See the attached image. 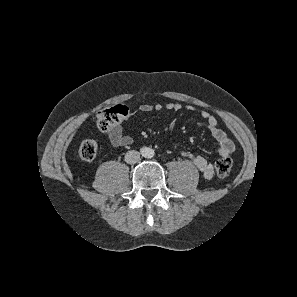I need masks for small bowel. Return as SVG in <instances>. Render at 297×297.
Masks as SVG:
<instances>
[{
	"label": "small bowel",
	"instance_id": "c3829d8e",
	"mask_svg": "<svg viewBox=\"0 0 297 297\" xmlns=\"http://www.w3.org/2000/svg\"><path fill=\"white\" fill-rule=\"evenodd\" d=\"M184 106L180 103L170 102L165 105L157 104L155 106L143 105L139 108L142 113L151 111L160 112L162 110L168 111H180ZM186 110L195 112L196 108L193 106H186ZM200 116L204 120L203 125L210 131L211 136L217 143L215 152L221 156L229 157L234 150L233 141L227 136V134L218 127L217 119L208 111H200ZM108 136L110 142L115 147H126L133 143V138L129 135L124 134L123 126L121 123L114 125L109 131ZM182 157L189 159L194 166L203 174L206 179H211L214 176V167L207 159L201 155L194 154L190 151L179 150Z\"/></svg>",
	"mask_w": 297,
	"mask_h": 297
}]
</instances>
